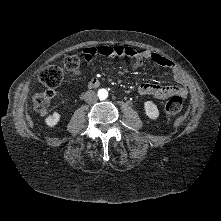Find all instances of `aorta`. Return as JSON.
Returning <instances> with one entry per match:
<instances>
[{"mask_svg":"<svg viewBox=\"0 0 221 221\" xmlns=\"http://www.w3.org/2000/svg\"><path fill=\"white\" fill-rule=\"evenodd\" d=\"M98 97L101 99V100H104L108 97V91L106 89H99L98 91Z\"/></svg>","mask_w":221,"mask_h":221,"instance_id":"762f6f07","label":"aorta"}]
</instances>
